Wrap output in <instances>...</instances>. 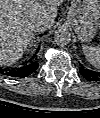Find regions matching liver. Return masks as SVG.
<instances>
[{"label":"liver","instance_id":"1","mask_svg":"<svg viewBox=\"0 0 100 118\" xmlns=\"http://www.w3.org/2000/svg\"><path fill=\"white\" fill-rule=\"evenodd\" d=\"M42 1V2H41ZM63 0H0V64L11 65L24 53L34 33L32 24L51 28Z\"/></svg>","mask_w":100,"mask_h":118}]
</instances>
